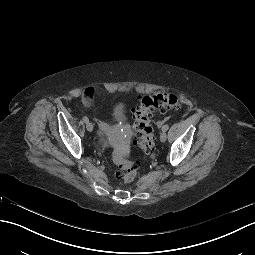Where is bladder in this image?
Listing matches in <instances>:
<instances>
[{
    "mask_svg": "<svg viewBox=\"0 0 255 255\" xmlns=\"http://www.w3.org/2000/svg\"><path fill=\"white\" fill-rule=\"evenodd\" d=\"M115 137L114 130L103 129V140L106 144L110 143V138Z\"/></svg>",
    "mask_w": 255,
    "mask_h": 255,
    "instance_id": "1",
    "label": "bladder"
}]
</instances>
